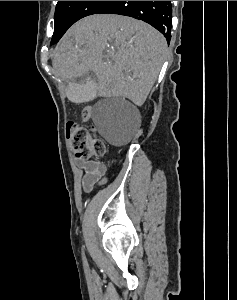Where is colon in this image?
<instances>
[{
    "mask_svg": "<svg viewBox=\"0 0 237 300\" xmlns=\"http://www.w3.org/2000/svg\"><path fill=\"white\" fill-rule=\"evenodd\" d=\"M66 134L70 148L79 159L102 157L106 152L105 142L91 128L69 123Z\"/></svg>",
    "mask_w": 237,
    "mask_h": 300,
    "instance_id": "obj_1",
    "label": "colon"
}]
</instances>
